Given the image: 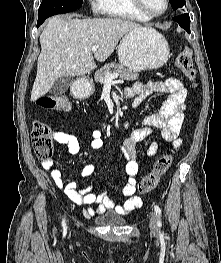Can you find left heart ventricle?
Instances as JSON below:
<instances>
[{
	"mask_svg": "<svg viewBox=\"0 0 221 263\" xmlns=\"http://www.w3.org/2000/svg\"><path fill=\"white\" fill-rule=\"evenodd\" d=\"M143 5L148 12L158 13L165 7V0H142Z\"/></svg>",
	"mask_w": 221,
	"mask_h": 263,
	"instance_id": "left-heart-ventricle-1",
	"label": "left heart ventricle"
}]
</instances>
